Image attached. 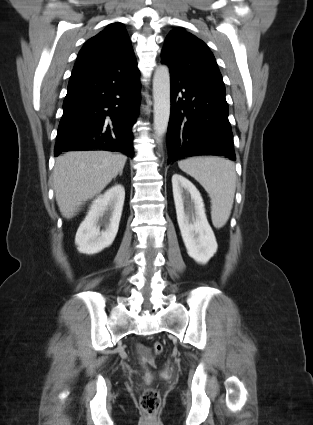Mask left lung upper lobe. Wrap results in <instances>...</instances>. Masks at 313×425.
I'll use <instances>...</instances> for the list:
<instances>
[{
    "instance_id": "5c2ea615",
    "label": "left lung upper lobe",
    "mask_w": 313,
    "mask_h": 425,
    "mask_svg": "<svg viewBox=\"0 0 313 425\" xmlns=\"http://www.w3.org/2000/svg\"><path fill=\"white\" fill-rule=\"evenodd\" d=\"M162 63L191 80L224 86L208 46L182 28H175L167 35L162 50Z\"/></svg>"
}]
</instances>
